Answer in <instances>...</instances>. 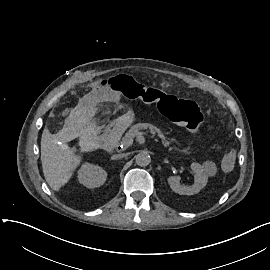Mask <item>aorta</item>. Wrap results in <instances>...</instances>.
Wrapping results in <instances>:
<instances>
[{
  "label": "aorta",
  "mask_w": 270,
  "mask_h": 270,
  "mask_svg": "<svg viewBox=\"0 0 270 270\" xmlns=\"http://www.w3.org/2000/svg\"><path fill=\"white\" fill-rule=\"evenodd\" d=\"M135 162L137 165L145 167L148 166L149 163L151 162V157L148 152L144 151L136 155Z\"/></svg>",
  "instance_id": "obj_1"
}]
</instances>
